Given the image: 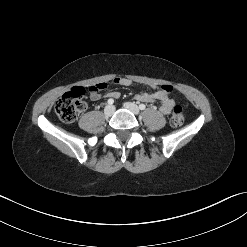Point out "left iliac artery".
Here are the masks:
<instances>
[{
    "instance_id": "left-iliac-artery-1",
    "label": "left iliac artery",
    "mask_w": 247,
    "mask_h": 247,
    "mask_svg": "<svg viewBox=\"0 0 247 247\" xmlns=\"http://www.w3.org/2000/svg\"><path fill=\"white\" fill-rule=\"evenodd\" d=\"M145 108H146V106H145L144 104H140V105H139V109H140V110H144Z\"/></svg>"
}]
</instances>
